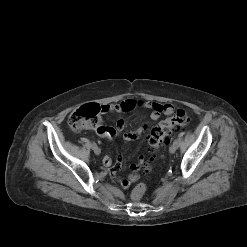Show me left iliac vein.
<instances>
[{"label":"left iliac vein","mask_w":247,"mask_h":247,"mask_svg":"<svg viewBox=\"0 0 247 247\" xmlns=\"http://www.w3.org/2000/svg\"><path fill=\"white\" fill-rule=\"evenodd\" d=\"M178 146L176 144H172L169 148L170 153H175Z\"/></svg>","instance_id":"1"}]
</instances>
